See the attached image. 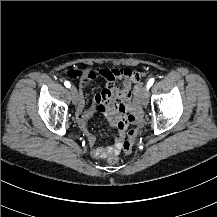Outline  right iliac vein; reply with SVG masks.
<instances>
[{"label":"right iliac vein","mask_w":217,"mask_h":217,"mask_svg":"<svg viewBox=\"0 0 217 217\" xmlns=\"http://www.w3.org/2000/svg\"><path fill=\"white\" fill-rule=\"evenodd\" d=\"M70 92L72 95V103L74 105H78L80 103V101H79V94H78L77 89L75 87H71Z\"/></svg>","instance_id":"1"}]
</instances>
